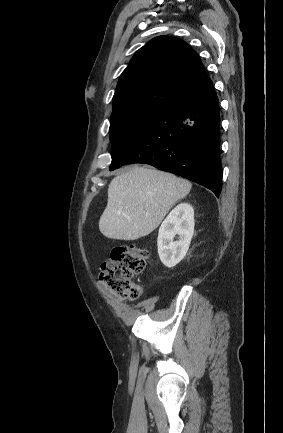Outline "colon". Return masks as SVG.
<instances>
[{
	"label": "colon",
	"mask_w": 283,
	"mask_h": 433,
	"mask_svg": "<svg viewBox=\"0 0 283 433\" xmlns=\"http://www.w3.org/2000/svg\"><path fill=\"white\" fill-rule=\"evenodd\" d=\"M147 258L148 253L142 248L132 245L116 247L101 265L100 280L120 297L138 298L142 289L132 279L143 272Z\"/></svg>",
	"instance_id": "obj_1"
}]
</instances>
